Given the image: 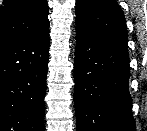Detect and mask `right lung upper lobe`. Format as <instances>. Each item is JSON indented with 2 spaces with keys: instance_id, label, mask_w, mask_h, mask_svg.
Listing matches in <instances>:
<instances>
[{
  "instance_id": "1",
  "label": "right lung upper lobe",
  "mask_w": 147,
  "mask_h": 131,
  "mask_svg": "<svg viewBox=\"0 0 147 131\" xmlns=\"http://www.w3.org/2000/svg\"><path fill=\"white\" fill-rule=\"evenodd\" d=\"M49 27L47 0H3L0 46L35 36Z\"/></svg>"
}]
</instances>
